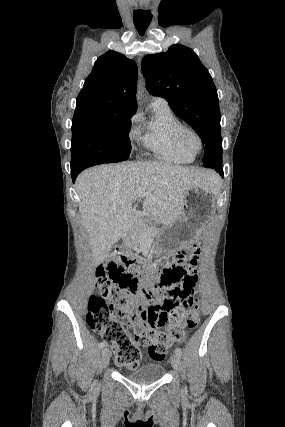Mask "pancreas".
I'll return each mask as SVG.
<instances>
[{"instance_id":"1","label":"pancreas","mask_w":285,"mask_h":427,"mask_svg":"<svg viewBox=\"0 0 285 427\" xmlns=\"http://www.w3.org/2000/svg\"><path fill=\"white\" fill-rule=\"evenodd\" d=\"M149 234H153V229L148 228L143 222H136L125 236L124 243L129 247L135 246L142 242Z\"/></svg>"}]
</instances>
